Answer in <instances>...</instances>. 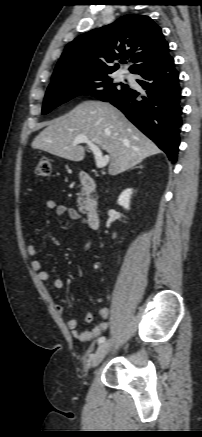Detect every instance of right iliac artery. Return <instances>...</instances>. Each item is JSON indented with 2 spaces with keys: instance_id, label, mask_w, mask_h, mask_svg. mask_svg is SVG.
<instances>
[{
  "instance_id": "right-iliac-artery-1",
  "label": "right iliac artery",
  "mask_w": 202,
  "mask_h": 437,
  "mask_svg": "<svg viewBox=\"0 0 202 437\" xmlns=\"http://www.w3.org/2000/svg\"><path fill=\"white\" fill-rule=\"evenodd\" d=\"M103 342H105V337H104V336H102V337H100V338L98 339V344H101V343H103Z\"/></svg>"
}]
</instances>
